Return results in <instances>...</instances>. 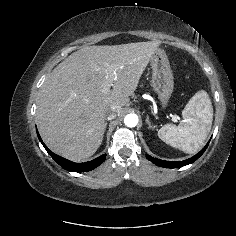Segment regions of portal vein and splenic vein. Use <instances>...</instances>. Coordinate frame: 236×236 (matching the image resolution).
<instances>
[{
  "label": "portal vein and splenic vein",
  "instance_id": "1",
  "mask_svg": "<svg viewBox=\"0 0 236 236\" xmlns=\"http://www.w3.org/2000/svg\"><path fill=\"white\" fill-rule=\"evenodd\" d=\"M109 71L112 72V73H115L116 68L110 67V68H109ZM110 87H111V84H110V83H106V84L104 85V87H103V92L108 91V90L110 89Z\"/></svg>",
  "mask_w": 236,
  "mask_h": 236
}]
</instances>
